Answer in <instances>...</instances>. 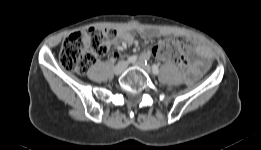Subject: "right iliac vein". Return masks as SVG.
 <instances>
[{
	"label": "right iliac vein",
	"instance_id": "63e3f726",
	"mask_svg": "<svg viewBox=\"0 0 261 150\" xmlns=\"http://www.w3.org/2000/svg\"><path fill=\"white\" fill-rule=\"evenodd\" d=\"M126 67H127L126 62H120L115 66L114 73L116 75H120L121 73H123L125 71Z\"/></svg>",
	"mask_w": 261,
	"mask_h": 150
}]
</instances>
